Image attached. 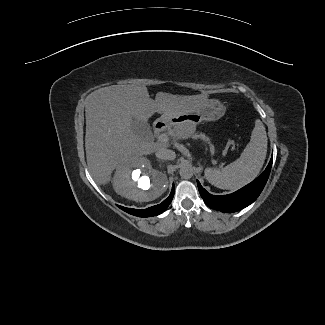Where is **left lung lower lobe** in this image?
I'll list each match as a JSON object with an SVG mask.
<instances>
[{
  "label": "left lung lower lobe",
  "instance_id": "obj_1",
  "mask_svg": "<svg viewBox=\"0 0 325 325\" xmlns=\"http://www.w3.org/2000/svg\"><path fill=\"white\" fill-rule=\"evenodd\" d=\"M272 160L273 155L267 168L254 181L228 195H212L201 186L199 181H197L201 197L210 208L221 212L232 213L244 209L253 203L262 192L270 174Z\"/></svg>",
  "mask_w": 325,
  "mask_h": 325
}]
</instances>
